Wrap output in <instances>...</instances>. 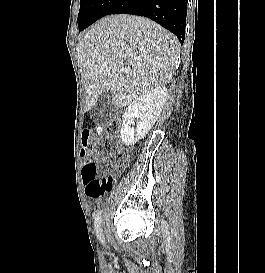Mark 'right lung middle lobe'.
<instances>
[{
  "label": "right lung middle lobe",
  "instance_id": "right-lung-middle-lobe-1",
  "mask_svg": "<svg viewBox=\"0 0 265 273\" xmlns=\"http://www.w3.org/2000/svg\"><path fill=\"white\" fill-rule=\"evenodd\" d=\"M116 0H80L78 14L79 31L106 15Z\"/></svg>",
  "mask_w": 265,
  "mask_h": 273
}]
</instances>
